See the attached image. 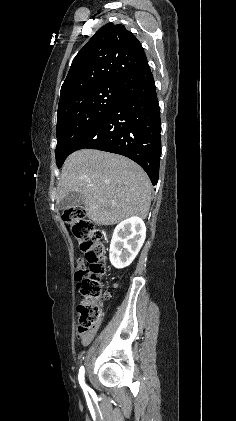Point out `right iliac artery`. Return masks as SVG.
<instances>
[{"label":"right iliac artery","mask_w":236,"mask_h":421,"mask_svg":"<svg viewBox=\"0 0 236 421\" xmlns=\"http://www.w3.org/2000/svg\"><path fill=\"white\" fill-rule=\"evenodd\" d=\"M84 374H85L84 367L81 366L80 369H79V375H78L79 384L82 387L83 391L87 392V390H89L90 388L85 384Z\"/></svg>","instance_id":"1"}]
</instances>
